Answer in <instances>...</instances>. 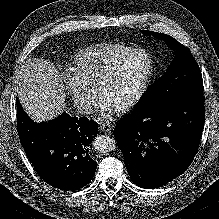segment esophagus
Here are the masks:
<instances>
[{
    "label": "esophagus",
    "instance_id": "esophagus-1",
    "mask_svg": "<svg viewBox=\"0 0 219 219\" xmlns=\"http://www.w3.org/2000/svg\"><path fill=\"white\" fill-rule=\"evenodd\" d=\"M99 125L102 132L110 133L113 130V125L109 122H100Z\"/></svg>",
    "mask_w": 219,
    "mask_h": 219
}]
</instances>
